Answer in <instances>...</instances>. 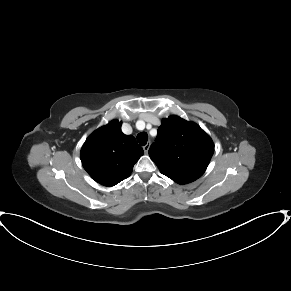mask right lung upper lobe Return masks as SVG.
<instances>
[{
  "label": "right lung upper lobe",
  "instance_id": "1",
  "mask_svg": "<svg viewBox=\"0 0 291 291\" xmlns=\"http://www.w3.org/2000/svg\"><path fill=\"white\" fill-rule=\"evenodd\" d=\"M143 154L134 136L123 134L121 122L113 120L87 138L81 149V161L96 182L111 187L130 176Z\"/></svg>",
  "mask_w": 291,
  "mask_h": 291
}]
</instances>
